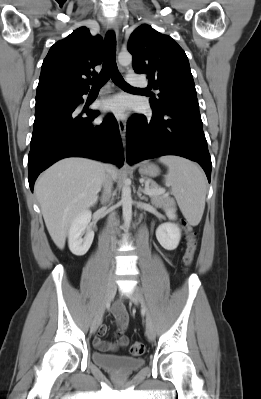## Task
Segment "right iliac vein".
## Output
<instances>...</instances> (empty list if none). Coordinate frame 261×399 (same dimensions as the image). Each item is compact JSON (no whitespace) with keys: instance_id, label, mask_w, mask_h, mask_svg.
<instances>
[{"instance_id":"63e3f726","label":"right iliac vein","mask_w":261,"mask_h":399,"mask_svg":"<svg viewBox=\"0 0 261 399\" xmlns=\"http://www.w3.org/2000/svg\"><path fill=\"white\" fill-rule=\"evenodd\" d=\"M115 293H116V283H115L114 277L110 276L108 279L107 285H106V292H105V296L102 301V304L100 305L98 311L96 312V314L91 322L90 330L92 333H95L96 330L98 329V327L102 321L105 306L109 301L112 300Z\"/></svg>"}]
</instances>
